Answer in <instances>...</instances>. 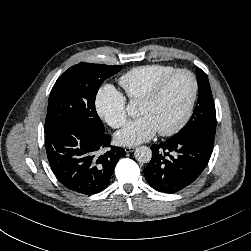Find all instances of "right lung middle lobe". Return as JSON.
<instances>
[{
  "label": "right lung middle lobe",
  "instance_id": "obj_1",
  "mask_svg": "<svg viewBox=\"0 0 251 251\" xmlns=\"http://www.w3.org/2000/svg\"><path fill=\"white\" fill-rule=\"evenodd\" d=\"M122 66L79 63L66 70L54 84L48 101L45 133L64 125H83L104 133L96 108V94L103 81Z\"/></svg>",
  "mask_w": 251,
  "mask_h": 251
}]
</instances>
